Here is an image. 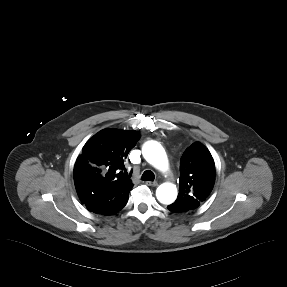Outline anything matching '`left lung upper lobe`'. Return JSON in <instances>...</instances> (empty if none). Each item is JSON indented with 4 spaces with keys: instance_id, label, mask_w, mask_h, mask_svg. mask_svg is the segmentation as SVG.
<instances>
[{
    "instance_id": "5c2ea615",
    "label": "left lung upper lobe",
    "mask_w": 287,
    "mask_h": 287,
    "mask_svg": "<svg viewBox=\"0 0 287 287\" xmlns=\"http://www.w3.org/2000/svg\"><path fill=\"white\" fill-rule=\"evenodd\" d=\"M214 183V160L205 146L195 142L181 157L179 194L173 204L181 212L196 209L210 194Z\"/></svg>"
}]
</instances>
